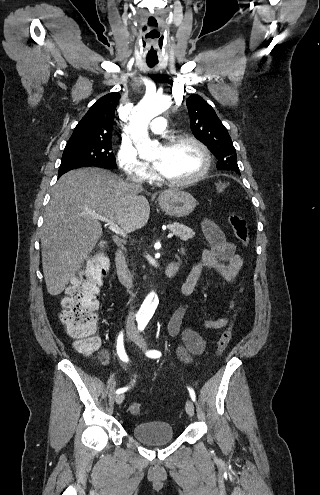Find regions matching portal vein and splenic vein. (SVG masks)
Returning a JSON list of instances; mask_svg holds the SVG:
<instances>
[{
    "label": "portal vein and splenic vein",
    "mask_w": 320,
    "mask_h": 495,
    "mask_svg": "<svg viewBox=\"0 0 320 495\" xmlns=\"http://www.w3.org/2000/svg\"><path fill=\"white\" fill-rule=\"evenodd\" d=\"M91 215L94 217V218H97L101 221H105L107 222L108 226H109V229L114 231L116 234H119L123 237H126L127 234L112 220V219H109L107 217H104V216H101L95 212L91 213ZM173 237V234L172 233H169L168 234V238H171Z\"/></svg>",
    "instance_id": "18ae733b"
}]
</instances>
